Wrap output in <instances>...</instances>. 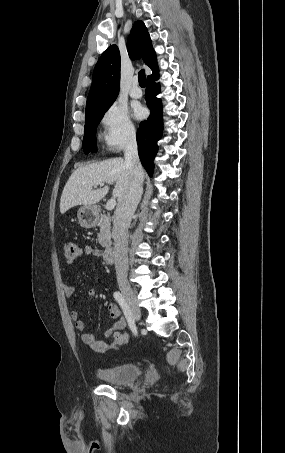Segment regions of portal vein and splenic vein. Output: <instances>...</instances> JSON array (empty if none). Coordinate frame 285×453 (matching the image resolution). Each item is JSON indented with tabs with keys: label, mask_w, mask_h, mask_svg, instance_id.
<instances>
[{
	"label": "portal vein and splenic vein",
	"mask_w": 285,
	"mask_h": 453,
	"mask_svg": "<svg viewBox=\"0 0 285 453\" xmlns=\"http://www.w3.org/2000/svg\"><path fill=\"white\" fill-rule=\"evenodd\" d=\"M115 206H116V200L115 199H111V200H108V202L106 204V209L107 210H112V209H114Z\"/></svg>",
	"instance_id": "18ae733b"
}]
</instances>
